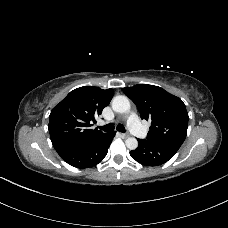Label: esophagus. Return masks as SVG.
Here are the masks:
<instances>
[{"label": "esophagus", "instance_id": "obj_1", "mask_svg": "<svg viewBox=\"0 0 228 228\" xmlns=\"http://www.w3.org/2000/svg\"><path fill=\"white\" fill-rule=\"evenodd\" d=\"M120 136H121L122 138H128V137H129V135L126 134V133H120Z\"/></svg>", "mask_w": 228, "mask_h": 228}]
</instances>
